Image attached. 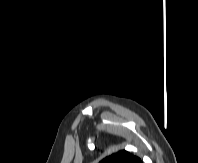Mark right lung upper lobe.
Masks as SVG:
<instances>
[{"label": "right lung upper lobe", "mask_w": 198, "mask_h": 163, "mask_svg": "<svg viewBox=\"0 0 198 163\" xmlns=\"http://www.w3.org/2000/svg\"><path fill=\"white\" fill-rule=\"evenodd\" d=\"M99 163H143L140 158L130 154L128 151L121 150L110 156H107Z\"/></svg>", "instance_id": "right-lung-upper-lobe-1"}]
</instances>
